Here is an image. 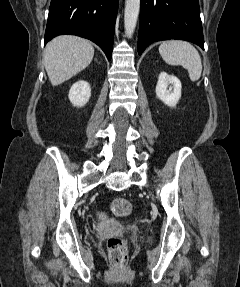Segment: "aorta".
Masks as SVG:
<instances>
[{
    "instance_id": "obj_1",
    "label": "aorta",
    "mask_w": 240,
    "mask_h": 287,
    "mask_svg": "<svg viewBox=\"0 0 240 287\" xmlns=\"http://www.w3.org/2000/svg\"><path fill=\"white\" fill-rule=\"evenodd\" d=\"M140 10V0H126L124 10V28L128 37H131L136 28Z\"/></svg>"
}]
</instances>
